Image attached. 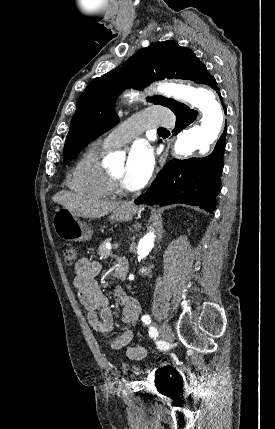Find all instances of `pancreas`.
Segmentation results:
<instances>
[{"label":"pancreas","mask_w":275,"mask_h":429,"mask_svg":"<svg viewBox=\"0 0 275 429\" xmlns=\"http://www.w3.org/2000/svg\"><path fill=\"white\" fill-rule=\"evenodd\" d=\"M99 255H101L103 258H107L109 256H112V251L106 248L105 242L101 243L99 246Z\"/></svg>","instance_id":"obj_1"}]
</instances>
